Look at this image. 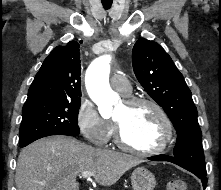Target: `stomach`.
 <instances>
[{
	"label": "stomach",
	"instance_id": "stomach-1",
	"mask_svg": "<svg viewBox=\"0 0 221 190\" xmlns=\"http://www.w3.org/2000/svg\"><path fill=\"white\" fill-rule=\"evenodd\" d=\"M134 190H153L156 186L155 176L144 167H137L131 174Z\"/></svg>",
	"mask_w": 221,
	"mask_h": 190
}]
</instances>
